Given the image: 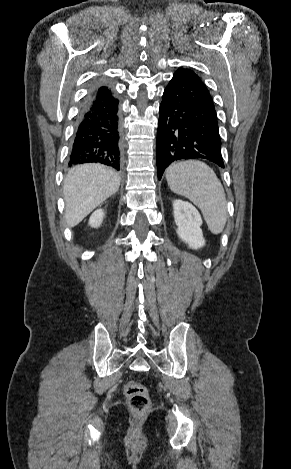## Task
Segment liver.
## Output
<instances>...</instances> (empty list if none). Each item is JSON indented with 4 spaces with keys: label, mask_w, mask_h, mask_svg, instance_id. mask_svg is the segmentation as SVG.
I'll return each mask as SVG.
<instances>
[{
    "label": "liver",
    "mask_w": 291,
    "mask_h": 469,
    "mask_svg": "<svg viewBox=\"0 0 291 469\" xmlns=\"http://www.w3.org/2000/svg\"><path fill=\"white\" fill-rule=\"evenodd\" d=\"M119 186L118 174L100 164H85L70 170L63 187L67 225L74 227L79 224L112 196Z\"/></svg>",
    "instance_id": "1"
}]
</instances>
